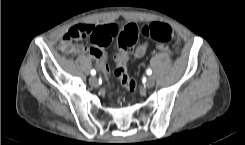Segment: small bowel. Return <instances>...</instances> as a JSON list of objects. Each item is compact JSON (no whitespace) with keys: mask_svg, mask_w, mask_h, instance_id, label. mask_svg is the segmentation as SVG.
<instances>
[{"mask_svg":"<svg viewBox=\"0 0 245 145\" xmlns=\"http://www.w3.org/2000/svg\"><path fill=\"white\" fill-rule=\"evenodd\" d=\"M96 31V37L92 40L90 47H85L80 44H73L71 42L62 41L59 45L60 50L68 55H78V52H88L92 58H94L98 65H104L105 60V47L111 40V35L108 32V28L112 25L118 26L115 23L105 24H87ZM148 48V44H140L134 51V58L142 57Z\"/></svg>","mask_w":245,"mask_h":145,"instance_id":"small-bowel-1","label":"small bowel"}]
</instances>
